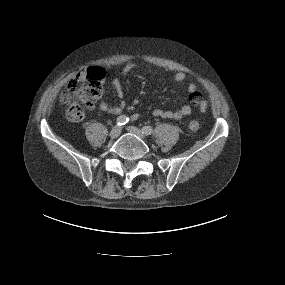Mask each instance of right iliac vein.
<instances>
[{
  "label": "right iliac vein",
  "instance_id": "63e3f726",
  "mask_svg": "<svg viewBox=\"0 0 285 285\" xmlns=\"http://www.w3.org/2000/svg\"><path fill=\"white\" fill-rule=\"evenodd\" d=\"M120 133H121V127L118 126V125H117V126H114V127L112 128V130L110 131V137H111L112 139H116V138L119 137Z\"/></svg>",
  "mask_w": 285,
  "mask_h": 285
}]
</instances>
